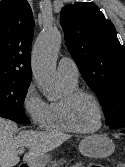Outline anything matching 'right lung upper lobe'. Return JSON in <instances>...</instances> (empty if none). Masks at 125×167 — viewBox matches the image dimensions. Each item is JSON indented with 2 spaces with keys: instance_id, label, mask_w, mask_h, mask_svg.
Instances as JSON below:
<instances>
[{
  "instance_id": "obj_1",
  "label": "right lung upper lobe",
  "mask_w": 125,
  "mask_h": 167,
  "mask_svg": "<svg viewBox=\"0 0 125 167\" xmlns=\"http://www.w3.org/2000/svg\"><path fill=\"white\" fill-rule=\"evenodd\" d=\"M34 18L26 0L0 1V81L29 83Z\"/></svg>"
}]
</instances>
